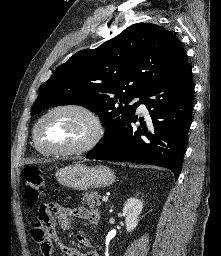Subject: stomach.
<instances>
[{"label": "stomach", "instance_id": "stomach-1", "mask_svg": "<svg viewBox=\"0 0 221 256\" xmlns=\"http://www.w3.org/2000/svg\"><path fill=\"white\" fill-rule=\"evenodd\" d=\"M56 178L60 184L74 190L105 188L115 181V175L110 168L106 166L89 167L82 163L58 169Z\"/></svg>", "mask_w": 221, "mask_h": 256}]
</instances>
